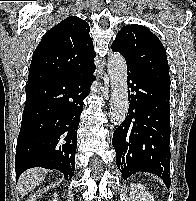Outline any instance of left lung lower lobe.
I'll return each instance as SVG.
<instances>
[{
	"mask_svg": "<svg viewBox=\"0 0 196 201\" xmlns=\"http://www.w3.org/2000/svg\"><path fill=\"white\" fill-rule=\"evenodd\" d=\"M128 115L115 130L112 144L123 179L137 172L170 179V86L128 68Z\"/></svg>",
	"mask_w": 196,
	"mask_h": 201,
	"instance_id": "obj_1",
	"label": "left lung lower lobe"
}]
</instances>
